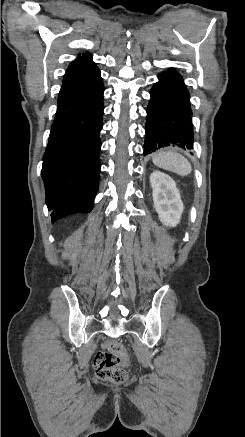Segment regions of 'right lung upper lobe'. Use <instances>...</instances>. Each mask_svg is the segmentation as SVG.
<instances>
[{
	"mask_svg": "<svg viewBox=\"0 0 245 437\" xmlns=\"http://www.w3.org/2000/svg\"><path fill=\"white\" fill-rule=\"evenodd\" d=\"M101 80L100 71L92 61V55L90 53L79 54L66 70L59 94L85 89Z\"/></svg>",
	"mask_w": 245,
	"mask_h": 437,
	"instance_id": "cb5924a9",
	"label": "right lung upper lobe"
}]
</instances>
